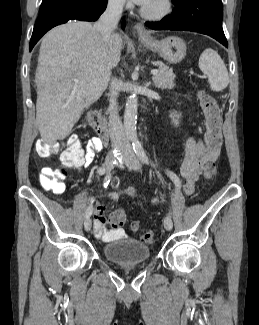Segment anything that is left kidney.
I'll return each mask as SVG.
<instances>
[{"label": "left kidney", "mask_w": 259, "mask_h": 325, "mask_svg": "<svg viewBox=\"0 0 259 325\" xmlns=\"http://www.w3.org/2000/svg\"><path fill=\"white\" fill-rule=\"evenodd\" d=\"M170 117L172 119V122L174 123V125H178L179 124V118H180V114H177L176 111L171 112Z\"/></svg>", "instance_id": "obj_1"}]
</instances>
